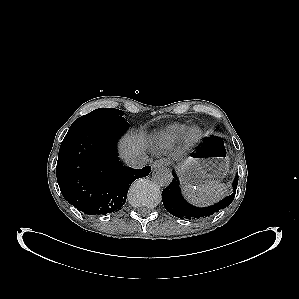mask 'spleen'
I'll return each mask as SVG.
<instances>
[{"label": "spleen", "instance_id": "1", "mask_svg": "<svg viewBox=\"0 0 299 299\" xmlns=\"http://www.w3.org/2000/svg\"><path fill=\"white\" fill-rule=\"evenodd\" d=\"M184 196L194 205L208 206L218 202L225 194L227 189L225 184L216 180L207 181L199 186H183Z\"/></svg>", "mask_w": 299, "mask_h": 299}]
</instances>
